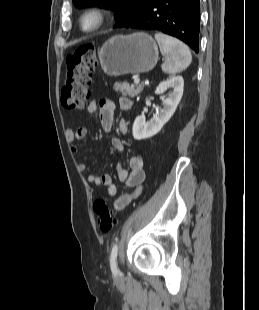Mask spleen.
I'll return each mask as SVG.
<instances>
[{
	"label": "spleen",
	"mask_w": 259,
	"mask_h": 310,
	"mask_svg": "<svg viewBox=\"0 0 259 310\" xmlns=\"http://www.w3.org/2000/svg\"><path fill=\"white\" fill-rule=\"evenodd\" d=\"M155 39L161 53L166 57L161 66L164 73L175 75L187 69L191 64L192 55L184 43L163 33H156Z\"/></svg>",
	"instance_id": "3e777b00"
}]
</instances>
